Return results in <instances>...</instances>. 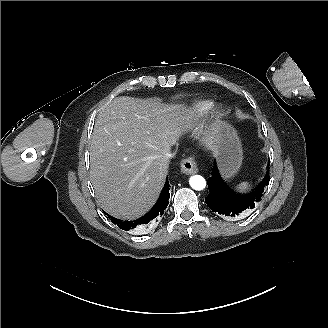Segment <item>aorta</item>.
<instances>
[{
    "mask_svg": "<svg viewBox=\"0 0 328 328\" xmlns=\"http://www.w3.org/2000/svg\"><path fill=\"white\" fill-rule=\"evenodd\" d=\"M189 184L194 190L200 191L206 187V180L200 175H194L190 177Z\"/></svg>",
    "mask_w": 328,
    "mask_h": 328,
    "instance_id": "obj_1",
    "label": "aorta"
}]
</instances>
